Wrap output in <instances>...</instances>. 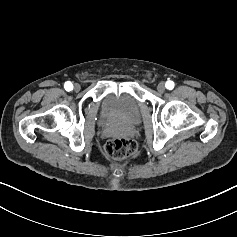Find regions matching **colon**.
<instances>
[{
  "label": "colon",
  "instance_id": "colon-1",
  "mask_svg": "<svg viewBox=\"0 0 237 237\" xmlns=\"http://www.w3.org/2000/svg\"><path fill=\"white\" fill-rule=\"evenodd\" d=\"M106 154L116 161L128 159L136 152V143L128 137H116L105 144Z\"/></svg>",
  "mask_w": 237,
  "mask_h": 237
}]
</instances>
